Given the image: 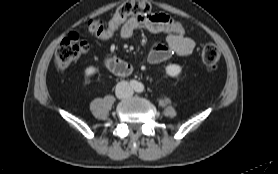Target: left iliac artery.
Here are the masks:
<instances>
[{
  "instance_id": "obj_1",
  "label": "left iliac artery",
  "mask_w": 278,
  "mask_h": 174,
  "mask_svg": "<svg viewBox=\"0 0 278 174\" xmlns=\"http://www.w3.org/2000/svg\"><path fill=\"white\" fill-rule=\"evenodd\" d=\"M137 91H138V92H142V91H143V85H142V84H139V85L137 86Z\"/></svg>"
}]
</instances>
